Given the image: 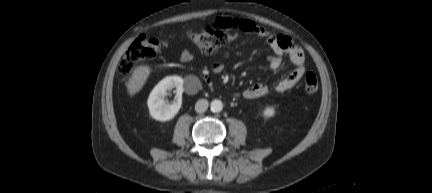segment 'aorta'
Returning a JSON list of instances; mask_svg holds the SVG:
<instances>
[{"label": "aorta", "instance_id": "762f6f07", "mask_svg": "<svg viewBox=\"0 0 432 193\" xmlns=\"http://www.w3.org/2000/svg\"><path fill=\"white\" fill-rule=\"evenodd\" d=\"M210 109L214 113H218L223 109V103L221 100L215 99L210 104Z\"/></svg>", "mask_w": 432, "mask_h": 193}]
</instances>
